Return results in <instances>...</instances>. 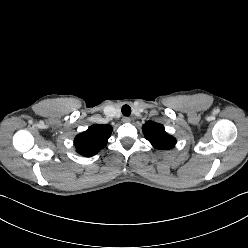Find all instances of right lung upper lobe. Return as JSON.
<instances>
[{
    "label": "right lung upper lobe",
    "mask_w": 248,
    "mask_h": 248,
    "mask_svg": "<svg viewBox=\"0 0 248 248\" xmlns=\"http://www.w3.org/2000/svg\"><path fill=\"white\" fill-rule=\"evenodd\" d=\"M111 132L112 127L109 125L90 126L85 132L75 137L74 145L77 152L85 157L97 154L107 144Z\"/></svg>",
    "instance_id": "cb5924a9"
}]
</instances>
